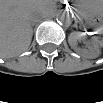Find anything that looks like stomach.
<instances>
[{
  "label": "stomach",
  "instance_id": "1",
  "mask_svg": "<svg viewBox=\"0 0 103 103\" xmlns=\"http://www.w3.org/2000/svg\"><path fill=\"white\" fill-rule=\"evenodd\" d=\"M84 6H86L87 8H91L92 10H100V2H97V1H93L92 3H84L83 4Z\"/></svg>",
  "mask_w": 103,
  "mask_h": 103
}]
</instances>
